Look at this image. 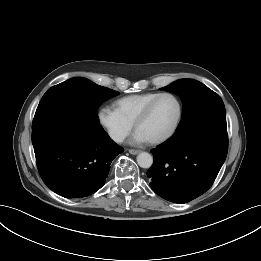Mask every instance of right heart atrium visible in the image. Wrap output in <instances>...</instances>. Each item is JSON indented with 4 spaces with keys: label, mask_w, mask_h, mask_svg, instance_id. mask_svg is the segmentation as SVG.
<instances>
[{
    "label": "right heart atrium",
    "mask_w": 261,
    "mask_h": 261,
    "mask_svg": "<svg viewBox=\"0 0 261 261\" xmlns=\"http://www.w3.org/2000/svg\"><path fill=\"white\" fill-rule=\"evenodd\" d=\"M97 120L111 140L121 143L130 134L133 124L123 118L115 109L102 107L97 112Z\"/></svg>",
    "instance_id": "d8ad5b80"
}]
</instances>
